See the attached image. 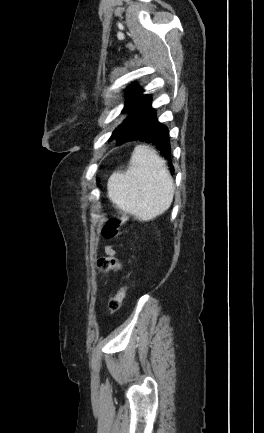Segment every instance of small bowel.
<instances>
[{"label": "small bowel", "mask_w": 264, "mask_h": 433, "mask_svg": "<svg viewBox=\"0 0 264 433\" xmlns=\"http://www.w3.org/2000/svg\"><path fill=\"white\" fill-rule=\"evenodd\" d=\"M106 252L110 255L114 254V250L111 247H107Z\"/></svg>", "instance_id": "c3829d8e"}]
</instances>
